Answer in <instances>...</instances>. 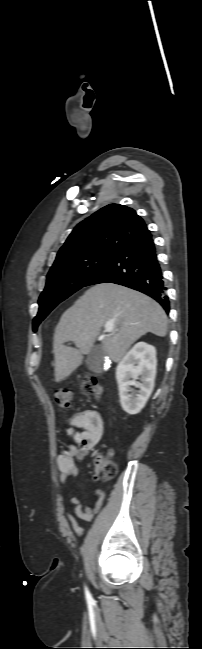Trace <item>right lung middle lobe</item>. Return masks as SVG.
I'll return each instance as SVG.
<instances>
[{
	"label": "right lung middle lobe",
	"instance_id": "dd1d6c3e",
	"mask_svg": "<svg viewBox=\"0 0 202 649\" xmlns=\"http://www.w3.org/2000/svg\"><path fill=\"white\" fill-rule=\"evenodd\" d=\"M117 253L89 251L62 259L53 264L44 291L39 298V311L33 320L36 332L40 322L74 292L84 287L87 281Z\"/></svg>",
	"mask_w": 202,
	"mask_h": 649
}]
</instances>
